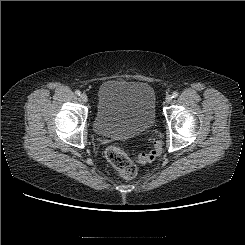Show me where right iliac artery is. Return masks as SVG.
<instances>
[{
  "instance_id": "obj_1",
  "label": "right iliac artery",
  "mask_w": 245,
  "mask_h": 245,
  "mask_svg": "<svg viewBox=\"0 0 245 245\" xmlns=\"http://www.w3.org/2000/svg\"><path fill=\"white\" fill-rule=\"evenodd\" d=\"M75 94L78 95V96H80L81 92L79 90H76L75 91Z\"/></svg>"
}]
</instances>
